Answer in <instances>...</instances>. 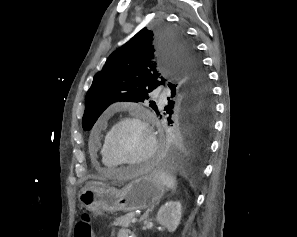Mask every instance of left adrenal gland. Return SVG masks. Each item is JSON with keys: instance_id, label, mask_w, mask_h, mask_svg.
<instances>
[{"instance_id": "left-adrenal-gland-1", "label": "left adrenal gland", "mask_w": 297, "mask_h": 237, "mask_svg": "<svg viewBox=\"0 0 297 237\" xmlns=\"http://www.w3.org/2000/svg\"><path fill=\"white\" fill-rule=\"evenodd\" d=\"M152 210V208L146 210V212L144 213V215L140 218L139 222H142L144 219H146L148 217L149 212Z\"/></svg>"}]
</instances>
